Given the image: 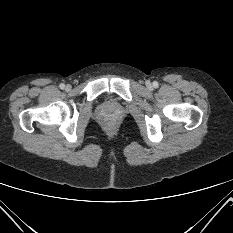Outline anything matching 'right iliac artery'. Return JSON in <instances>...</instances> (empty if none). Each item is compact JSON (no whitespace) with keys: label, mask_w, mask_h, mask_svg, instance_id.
I'll return each instance as SVG.
<instances>
[{"label":"right iliac artery","mask_w":233,"mask_h":233,"mask_svg":"<svg viewBox=\"0 0 233 233\" xmlns=\"http://www.w3.org/2000/svg\"><path fill=\"white\" fill-rule=\"evenodd\" d=\"M60 89H64L65 88V85L62 83L59 85Z\"/></svg>","instance_id":"1"}]
</instances>
